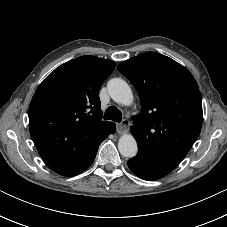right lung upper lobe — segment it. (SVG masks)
<instances>
[{"mask_svg": "<svg viewBox=\"0 0 227 227\" xmlns=\"http://www.w3.org/2000/svg\"><path fill=\"white\" fill-rule=\"evenodd\" d=\"M115 62L82 56L49 74L29 106V130L39 155L68 176L88 161L115 125L102 121L98 91Z\"/></svg>", "mask_w": 227, "mask_h": 227, "instance_id": "1", "label": "right lung upper lobe"}]
</instances>
